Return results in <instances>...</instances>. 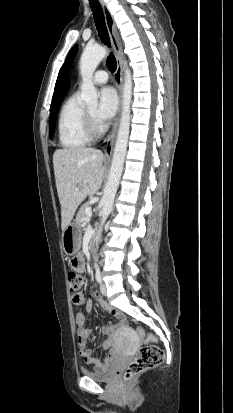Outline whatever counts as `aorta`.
Here are the masks:
<instances>
[{
    "mask_svg": "<svg viewBox=\"0 0 233 413\" xmlns=\"http://www.w3.org/2000/svg\"><path fill=\"white\" fill-rule=\"evenodd\" d=\"M108 51L105 47H86L80 58V74L82 77L81 99L89 106L96 107L98 104V92L93 84L92 77L99 63L105 58ZM125 76L123 86V102L120 124L117 133L116 144L112 157L111 168L102 198V217L97 235V240L105 221L112 211L114 198L119 186L123 171L125 155L127 151L131 120L132 102V76L130 69L124 64Z\"/></svg>",
    "mask_w": 233,
    "mask_h": 413,
    "instance_id": "1",
    "label": "aorta"
}]
</instances>
